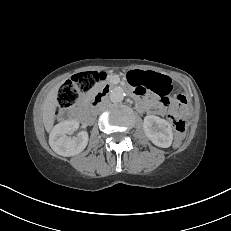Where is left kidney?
<instances>
[{
	"instance_id": "5707ae66",
	"label": "left kidney",
	"mask_w": 231,
	"mask_h": 231,
	"mask_svg": "<svg viewBox=\"0 0 231 231\" xmlns=\"http://www.w3.org/2000/svg\"><path fill=\"white\" fill-rule=\"evenodd\" d=\"M143 129L145 135L151 142L161 148H168L173 141V132L171 125L166 120L154 116L147 115L144 118Z\"/></svg>"
}]
</instances>
